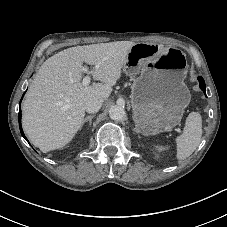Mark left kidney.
<instances>
[{"instance_id": "5707ae66", "label": "left kidney", "mask_w": 227, "mask_h": 227, "mask_svg": "<svg viewBox=\"0 0 227 227\" xmlns=\"http://www.w3.org/2000/svg\"><path fill=\"white\" fill-rule=\"evenodd\" d=\"M164 149V147H159V150H163Z\"/></svg>"}]
</instances>
